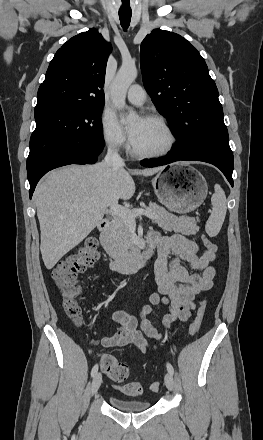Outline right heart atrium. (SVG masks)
Listing matches in <instances>:
<instances>
[{
  "mask_svg": "<svg viewBox=\"0 0 263 440\" xmlns=\"http://www.w3.org/2000/svg\"><path fill=\"white\" fill-rule=\"evenodd\" d=\"M100 127L103 142L109 148L121 149L126 146V136L113 114L104 113L101 118Z\"/></svg>",
  "mask_w": 263,
  "mask_h": 440,
  "instance_id": "1",
  "label": "right heart atrium"
}]
</instances>
